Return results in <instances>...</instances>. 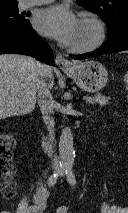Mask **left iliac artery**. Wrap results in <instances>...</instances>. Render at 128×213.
<instances>
[{"instance_id": "left-iliac-artery-1", "label": "left iliac artery", "mask_w": 128, "mask_h": 213, "mask_svg": "<svg viewBox=\"0 0 128 213\" xmlns=\"http://www.w3.org/2000/svg\"><path fill=\"white\" fill-rule=\"evenodd\" d=\"M65 172H66V176H67V180L71 185H75L76 184V179H75V175L73 173V169H72V165L68 164L65 166Z\"/></svg>"}]
</instances>
